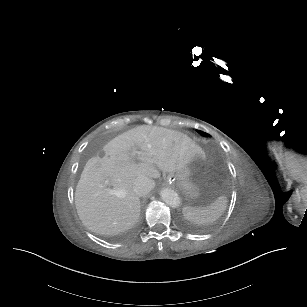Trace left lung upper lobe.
I'll return each instance as SVG.
<instances>
[{
    "mask_svg": "<svg viewBox=\"0 0 307 307\" xmlns=\"http://www.w3.org/2000/svg\"><path fill=\"white\" fill-rule=\"evenodd\" d=\"M203 136H206V137H208L209 135L207 134V133H204V132H202V131H199Z\"/></svg>",
    "mask_w": 307,
    "mask_h": 307,
    "instance_id": "obj_1",
    "label": "left lung upper lobe"
}]
</instances>
